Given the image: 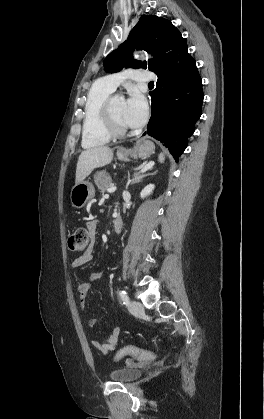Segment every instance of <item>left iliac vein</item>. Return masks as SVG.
Masks as SVG:
<instances>
[{
	"label": "left iliac vein",
	"instance_id": "obj_1",
	"mask_svg": "<svg viewBox=\"0 0 264 419\" xmlns=\"http://www.w3.org/2000/svg\"><path fill=\"white\" fill-rule=\"evenodd\" d=\"M128 309L133 314H141L144 311L143 305L138 301H130L128 304Z\"/></svg>",
	"mask_w": 264,
	"mask_h": 419
}]
</instances>
